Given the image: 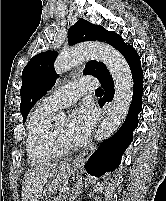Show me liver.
Segmentation results:
<instances>
[{
	"mask_svg": "<svg viewBox=\"0 0 166 201\" xmlns=\"http://www.w3.org/2000/svg\"><path fill=\"white\" fill-rule=\"evenodd\" d=\"M69 165L66 163L38 166L26 172L22 182V201H39L44 186L56 173Z\"/></svg>",
	"mask_w": 166,
	"mask_h": 201,
	"instance_id": "1",
	"label": "liver"
}]
</instances>
